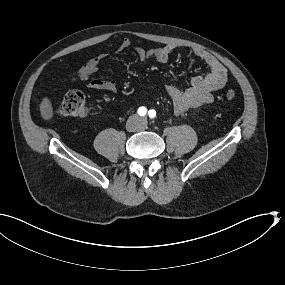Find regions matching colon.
<instances>
[{"label": "colon", "mask_w": 285, "mask_h": 285, "mask_svg": "<svg viewBox=\"0 0 285 285\" xmlns=\"http://www.w3.org/2000/svg\"><path fill=\"white\" fill-rule=\"evenodd\" d=\"M76 77H80V73L76 74ZM225 96L228 100H232L236 97V93L230 89L226 91ZM87 111L85 97L77 90L68 91L57 108L59 115L69 118H83L87 115Z\"/></svg>", "instance_id": "obj_1"}]
</instances>
